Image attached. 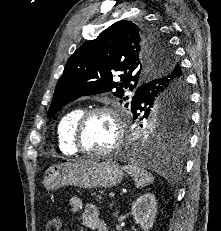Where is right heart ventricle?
<instances>
[{
    "label": "right heart ventricle",
    "mask_w": 221,
    "mask_h": 231,
    "mask_svg": "<svg viewBox=\"0 0 221 231\" xmlns=\"http://www.w3.org/2000/svg\"><path fill=\"white\" fill-rule=\"evenodd\" d=\"M81 108H74L66 112L57 125V140L60 151L66 155L76 154L72 143L73 128L76 120L82 114Z\"/></svg>",
    "instance_id": "1"
}]
</instances>
